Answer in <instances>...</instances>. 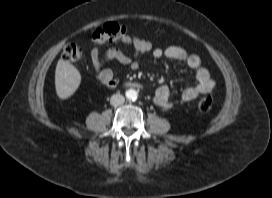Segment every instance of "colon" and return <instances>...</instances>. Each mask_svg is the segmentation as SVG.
<instances>
[{
    "mask_svg": "<svg viewBox=\"0 0 272 198\" xmlns=\"http://www.w3.org/2000/svg\"><path fill=\"white\" fill-rule=\"evenodd\" d=\"M129 27L119 22H108L97 28L92 34L95 43H104L121 39L128 35ZM63 58L70 62H80L84 58L83 49L74 43L67 44L63 49ZM213 98L210 94H205L199 101V109L208 112L212 108Z\"/></svg>",
    "mask_w": 272,
    "mask_h": 198,
    "instance_id": "5ec220e1",
    "label": "colon"
}]
</instances>
